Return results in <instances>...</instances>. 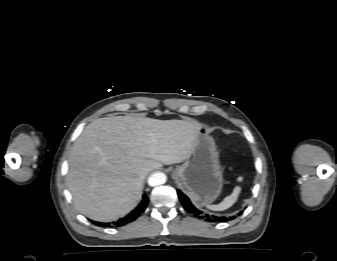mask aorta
I'll return each mask as SVG.
<instances>
[{
    "mask_svg": "<svg viewBox=\"0 0 337 261\" xmlns=\"http://www.w3.org/2000/svg\"><path fill=\"white\" fill-rule=\"evenodd\" d=\"M167 177L162 172H155L148 178V184L152 187L162 185L166 182Z\"/></svg>",
    "mask_w": 337,
    "mask_h": 261,
    "instance_id": "obj_1",
    "label": "aorta"
}]
</instances>
